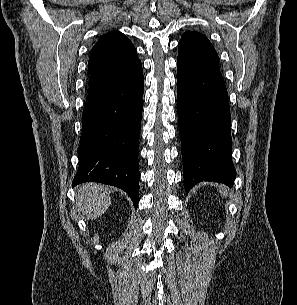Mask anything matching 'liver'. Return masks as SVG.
Returning a JSON list of instances; mask_svg holds the SVG:
<instances>
[{"mask_svg":"<svg viewBox=\"0 0 297 305\" xmlns=\"http://www.w3.org/2000/svg\"><path fill=\"white\" fill-rule=\"evenodd\" d=\"M111 204L110 189L97 183H86L76 192V208L88 219L94 220L104 214Z\"/></svg>","mask_w":297,"mask_h":305,"instance_id":"liver-1","label":"liver"}]
</instances>
